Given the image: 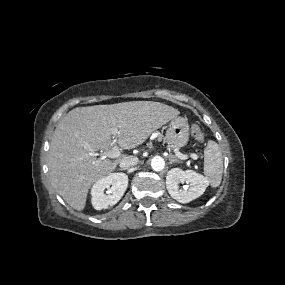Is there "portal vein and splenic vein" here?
<instances>
[{"instance_id":"18ae733b","label":"portal vein and splenic vein","mask_w":285,"mask_h":285,"mask_svg":"<svg viewBox=\"0 0 285 285\" xmlns=\"http://www.w3.org/2000/svg\"><path fill=\"white\" fill-rule=\"evenodd\" d=\"M111 134L113 136L112 142H111V146L112 148L110 150L107 151H101L100 153H96V155L99 156V160H102L104 158H118L121 155L120 149L116 144V137L119 135V130L117 128H113L111 129ZM175 155L181 159V160H186L189 157L193 160H196L198 158V156L196 154H191L190 156L182 154L179 151H175Z\"/></svg>"}]
</instances>
